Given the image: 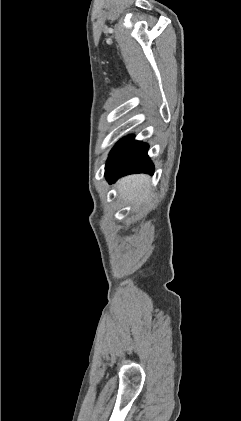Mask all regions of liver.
Segmentation results:
<instances>
[{
	"label": "liver",
	"mask_w": 241,
	"mask_h": 421,
	"mask_svg": "<svg viewBox=\"0 0 241 421\" xmlns=\"http://www.w3.org/2000/svg\"><path fill=\"white\" fill-rule=\"evenodd\" d=\"M148 175H131L122 178L117 183L118 193L129 203L139 205L150 199Z\"/></svg>",
	"instance_id": "obj_1"
}]
</instances>
